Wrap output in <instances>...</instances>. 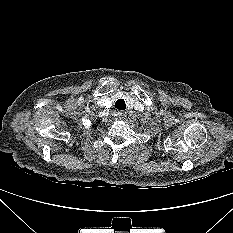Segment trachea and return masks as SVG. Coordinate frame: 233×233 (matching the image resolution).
<instances>
[{"instance_id": "obj_1", "label": "trachea", "mask_w": 233, "mask_h": 233, "mask_svg": "<svg viewBox=\"0 0 233 233\" xmlns=\"http://www.w3.org/2000/svg\"><path fill=\"white\" fill-rule=\"evenodd\" d=\"M115 108L118 109V110H125L126 109V104H125L124 99H118L115 102Z\"/></svg>"}]
</instances>
